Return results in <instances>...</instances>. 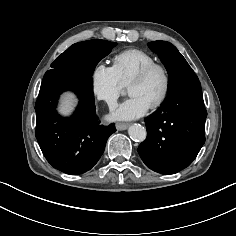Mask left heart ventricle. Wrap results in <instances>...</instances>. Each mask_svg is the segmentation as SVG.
<instances>
[{
  "label": "left heart ventricle",
  "mask_w": 236,
  "mask_h": 236,
  "mask_svg": "<svg viewBox=\"0 0 236 236\" xmlns=\"http://www.w3.org/2000/svg\"><path fill=\"white\" fill-rule=\"evenodd\" d=\"M164 88V77L161 71H153L149 77L138 84L129 87L130 96H138L150 106L160 97Z\"/></svg>",
  "instance_id": "1"
}]
</instances>
